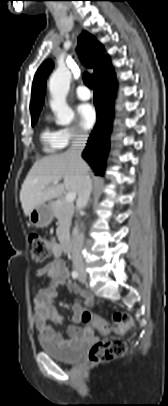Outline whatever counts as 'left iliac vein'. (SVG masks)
I'll return each mask as SVG.
<instances>
[{"instance_id":"4c4485c4","label":"left iliac vein","mask_w":168,"mask_h":406,"mask_svg":"<svg viewBox=\"0 0 168 406\" xmlns=\"http://www.w3.org/2000/svg\"><path fill=\"white\" fill-rule=\"evenodd\" d=\"M79 279L81 282L84 283L86 281V276L84 274H81Z\"/></svg>"}]
</instances>
